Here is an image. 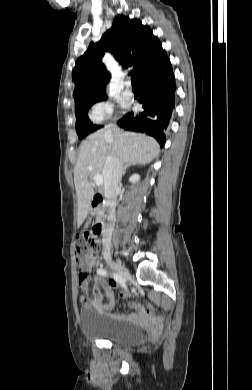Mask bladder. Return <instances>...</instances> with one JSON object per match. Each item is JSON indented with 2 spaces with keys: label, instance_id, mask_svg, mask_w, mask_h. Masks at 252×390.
<instances>
[{
  "label": "bladder",
  "instance_id": "bladder-1",
  "mask_svg": "<svg viewBox=\"0 0 252 390\" xmlns=\"http://www.w3.org/2000/svg\"><path fill=\"white\" fill-rule=\"evenodd\" d=\"M83 334L90 339H102L120 346H134L144 338V329L132 322L120 321L102 315H80Z\"/></svg>",
  "mask_w": 252,
  "mask_h": 390
}]
</instances>
